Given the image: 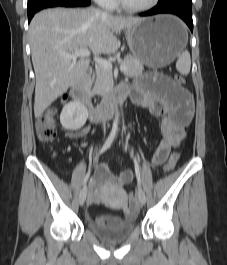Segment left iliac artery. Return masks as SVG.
<instances>
[{
	"label": "left iliac artery",
	"mask_w": 227,
	"mask_h": 265,
	"mask_svg": "<svg viewBox=\"0 0 227 265\" xmlns=\"http://www.w3.org/2000/svg\"><path fill=\"white\" fill-rule=\"evenodd\" d=\"M131 156L134 159L136 178H137L139 186H141V176H140L139 165H138V162H137L136 158L134 157V153L133 152H131Z\"/></svg>",
	"instance_id": "1"
}]
</instances>
